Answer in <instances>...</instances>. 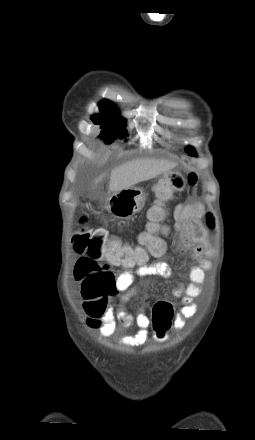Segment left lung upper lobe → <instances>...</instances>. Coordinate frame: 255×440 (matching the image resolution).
Instances as JSON below:
<instances>
[{"mask_svg": "<svg viewBox=\"0 0 255 440\" xmlns=\"http://www.w3.org/2000/svg\"><path fill=\"white\" fill-rule=\"evenodd\" d=\"M185 151H186L187 154L190 155V156H196L193 147H186V148H185Z\"/></svg>", "mask_w": 255, "mask_h": 440, "instance_id": "5c2ea615", "label": "left lung upper lobe"}]
</instances>
